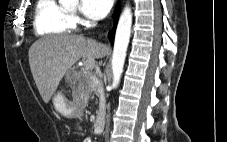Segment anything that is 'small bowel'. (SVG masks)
<instances>
[{
	"label": "small bowel",
	"mask_w": 227,
	"mask_h": 142,
	"mask_svg": "<svg viewBox=\"0 0 227 142\" xmlns=\"http://www.w3.org/2000/svg\"><path fill=\"white\" fill-rule=\"evenodd\" d=\"M83 142H93L90 138H85Z\"/></svg>",
	"instance_id": "1"
}]
</instances>
